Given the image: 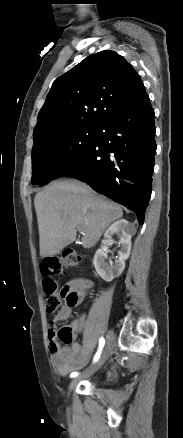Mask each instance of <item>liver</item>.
I'll return each instance as SVG.
<instances>
[{"mask_svg":"<svg viewBox=\"0 0 183 438\" xmlns=\"http://www.w3.org/2000/svg\"><path fill=\"white\" fill-rule=\"evenodd\" d=\"M42 258L59 254L83 233L84 248L93 247L106 228L123 215L122 208L74 180L50 183L34 198Z\"/></svg>","mask_w":183,"mask_h":438,"instance_id":"1","label":"liver"}]
</instances>
